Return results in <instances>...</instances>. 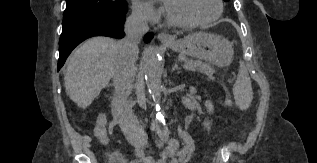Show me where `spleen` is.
I'll list each match as a JSON object with an SVG mask.
<instances>
[{
	"instance_id": "1",
	"label": "spleen",
	"mask_w": 317,
	"mask_h": 163,
	"mask_svg": "<svg viewBox=\"0 0 317 163\" xmlns=\"http://www.w3.org/2000/svg\"><path fill=\"white\" fill-rule=\"evenodd\" d=\"M233 94L236 104L245 110L252 100V86L247 68L243 61H240V68L237 80L233 86Z\"/></svg>"
}]
</instances>
